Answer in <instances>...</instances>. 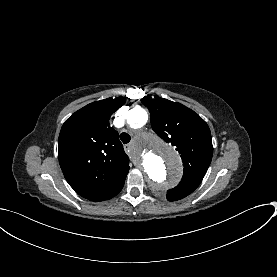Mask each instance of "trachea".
Returning a JSON list of instances; mask_svg holds the SVG:
<instances>
[{
    "label": "trachea",
    "instance_id": "obj_1",
    "mask_svg": "<svg viewBox=\"0 0 277 277\" xmlns=\"http://www.w3.org/2000/svg\"><path fill=\"white\" fill-rule=\"evenodd\" d=\"M120 139H121V141H122L124 144H127V143L130 142L131 137H130L129 134L123 132V133L120 134Z\"/></svg>",
    "mask_w": 277,
    "mask_h": 277
}]
</instances>
